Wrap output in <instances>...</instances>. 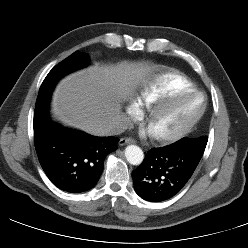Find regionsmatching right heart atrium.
<instances>
[{"label":"right heart atrium","instance_id":"d8ad5b80","mask_svg":"<svg viewBox=\"0 0 248 248\" xmlns=\"http://www.w3.org/2000/svg\"><path fill=\"white\" fill-rule=\"evenodd\" d=\"M126 112L130 120L135 119L141 113L140 105L135 100H131L126 106Z\"/></svg>","mask_w":248,"mask_h":248}]
</instances>
